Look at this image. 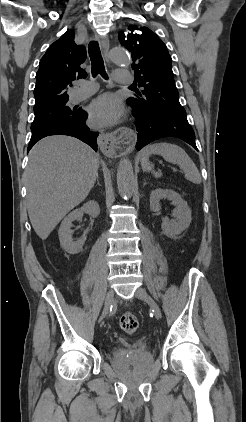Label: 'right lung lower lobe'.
<instances>
[{
  "label": "right lung lower lobe",
  "mask_w": 246,
  "mask_h": 422,
  "mask_svg": "<svg viewBox=\"0 0 246 422\" xmlns=\"http://www.w3.org/2000/svg\"><path fill=\"white\" fill-rule=\"evenodd\" d=\"M87 113L80 109L79 114L71 120L49 122L32 130L28 151L40 139L50 135H69L76 137L97 151L98 133L91 131L85 124Z\"/></svg>",
  "instance_id": "right-lung-lower-lobe-1"
}]
</instances>
